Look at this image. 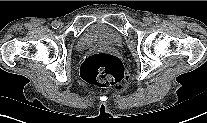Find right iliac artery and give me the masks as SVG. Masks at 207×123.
<instances>
[{
    "instance_id": "right-iliac-artery-1",
    "label": "right iliac artery",
    "mask_w": 207,
    "mask_h": 123,
    "mask_svg": "<svg viewBox=\"0 0 207 123\" xmlns=\"http://www.w3.org/2000/svg\"><path fill=\"white\" fill-rule=\"evenodd\" d=\"M59 27V22L53 21L52 22V28L57 29Z\"/></svg>"
}]
</instances>
